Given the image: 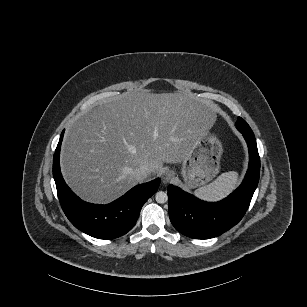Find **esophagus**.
Segmentation results:
<instances>
[{"label":"esophagus","instance_id":"1","mask_svg":"<svg viewBox=\"0 0 307 307\" xmlns=\"http://www.w3.org/2000/svg\"><path fill=\"white\" fill-rule=\"evenodd\" d=\"M174 177V172L172 170H166L162 175V181L164 184L169 183Z\"/></svg>","mask_w":307,"mask_h":307}]
</instances>
